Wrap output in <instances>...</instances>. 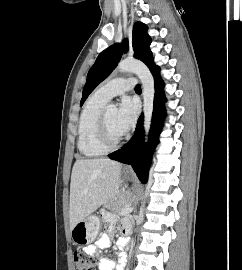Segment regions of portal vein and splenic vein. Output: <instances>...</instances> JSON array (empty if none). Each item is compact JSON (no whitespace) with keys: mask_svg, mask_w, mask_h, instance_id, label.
<instances>
[{"mask_svg":"<svg viewBox=\"0 0 242 270\" xmlns=\"http://www.w3.org/2000/svg\"><path fill=\"white\" fill-rule=\"evenodd\" d=\"M132 209H133L132 207L127 206L126 208H124V209L121 211V215L131 212Z\"/></svg>","mask_w":242,"mask_h":270,"instance_id":"18ae733b","label":"portal vein and splenic vein"}]
</instances>
